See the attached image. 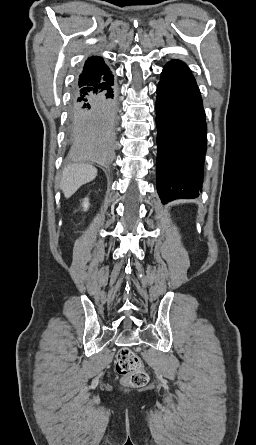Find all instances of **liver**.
I'll return each instance as SVG.
<instances>
[{"label":"liver","instance_id":"1","mask_svg":"<svg viewBox=\"0 0 256 445\" xmlns=\"http://www.w3.org/2000/svg\"><path fill=\"white\" fill-rule=\"evenodd\" d=\"M97 176V169L84 163L67 165L60 181V188L66 198L71 197L83 184L91 182Z\"/></svg>","mask_w":256,"mask_h":445}]
</instances>
